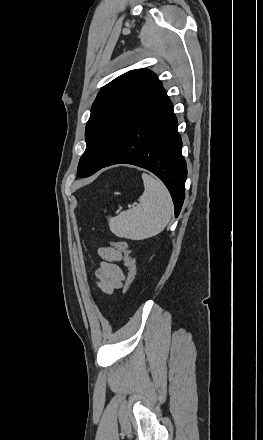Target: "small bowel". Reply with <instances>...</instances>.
I'll use <instances>...</instances> for the list:
<instances>
[{
    "instance_id": "1",
    "label": "small bowel",
    "mask_w": 263,
    "mask_h": 440,
    "mask_svg": "<svg viewBox=\"0 0 263 440\" xmlns=\"http://www.w3.org/2000/svg\"><path fill=\"white\" fill-rule=\"evenodd\" d=\"M97 253L101 258V262L95 272L96 282L102 291L112 293L122 287V283L126 278L125 273L119 266L122 254L112 246L99 247Z\"/></svg>"
}]
</instances>
